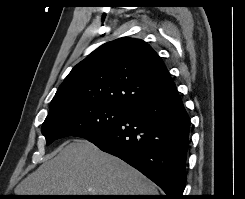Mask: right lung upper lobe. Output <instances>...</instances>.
<instances>
[{"label":"right lung upper lobe","instance_id":"right-lung-upper-lobe-1","mask_svg":"<svg viewBox=\"0 0 245 199\" xmlns=\"http://www.w3.org/2000/svg\"><path fill=\"white\" fill-rule=\"evenodd\" d=\"M175 89L165 64L146 42L120 38L101 45L71 70L49 114L83 103L131 109Z\"/></svg>","mask_w":245,"mask_h":199}]
</instances>
